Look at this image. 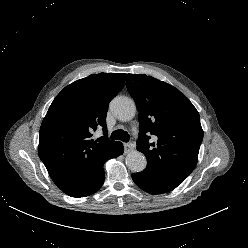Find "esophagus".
Segmentation results:
<instances>
[{
    "mask_svg": "<svg viewBox=\"0 0 248 248\" xmlns=\"http://www.w3.org/2000/svg\"><path fill=\"white\" fill-rule=\"evenodd\" d=\"M124 150H125V153H130L135 150V145L132 143H126L124 144Z\"/></svg>",
    "mask_w": 248,
    "mask_h": 248,
    "instance_id": "obj_1",
    "label": "esophagus"
}]
</instances>
